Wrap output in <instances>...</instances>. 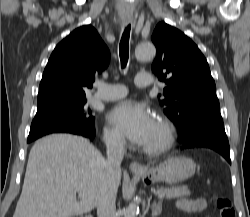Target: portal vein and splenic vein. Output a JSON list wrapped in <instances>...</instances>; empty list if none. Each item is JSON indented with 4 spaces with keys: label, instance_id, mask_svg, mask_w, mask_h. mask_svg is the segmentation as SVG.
<instances>
[{
    "label": "portal vein and splenic vein",
    "instance_id": "obj_1",
    "mask_svg": "<svg viewBox=\"0 0 250 217\" xmlns=\"http://www.w3.org/2000/svg\"><path fill=\"white\" fill-rule=\"evenodd\" d=\"M157 196H158V198H163L165 196V194L164 193H158Z\"/></svg>",
    "mask_w": 250,
    "mask_h": 217
}]
</instances>
